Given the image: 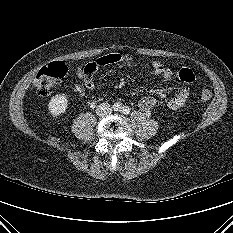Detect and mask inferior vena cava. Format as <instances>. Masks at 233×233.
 <instances>
[{"mask_svg":"<svg viewBox=\"0 0 233 233\" xmlns=\"http://www.w3.org/2000/svg\"><path fill=\"white\" fill-rule=\"evenodd\" d=\"M111 112H112V108L107 103H101V104L97 105V107H96V114L101 116V117L107 116V115L111 114Z\"/></svg>","mask_w":233,"mask_h":233,"instance_id":"1","label":"inferior vena cava"}]
</instances>
